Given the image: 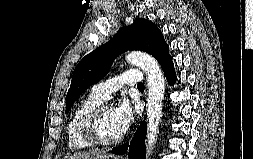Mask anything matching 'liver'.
<instances>
[{
    "mask_svg": "<svg viewBox=\"0 0 253 159\" xmlns=\"http://www.w3.org/2000/svg\"><path fill=\"white\" fill-rule=\"evenodd\" d=\"M112 154H105L101 151L93 150L88 152H76L64 159H102V158H113Z\"/></svg>",
    "mask_w": 253,
    "mask_h": 159,
    "instance_id": "6515ba94",
    "label": "liver"
}]
</instances>
